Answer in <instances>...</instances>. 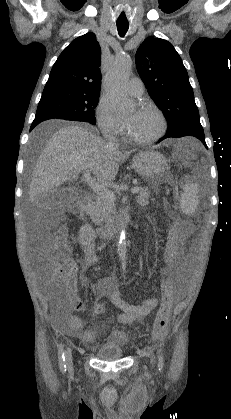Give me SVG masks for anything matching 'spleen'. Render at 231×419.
<instances>
[{"label":"spleen","mask_w":231,"mask_h":419,"mask_svg":"<svg viewBox=\"0 0 231 419\" xmlns=\"http://www.w3.org/2000/svg\"><path fill=\"white\" fill-rule=\"evenodd\" d=\"M183 189L184 193L180 199L181 209L185 214L191 215L195 212L198 205V187L194 183H187Z\"/></svg>","instance_id":"obj_1"}]
</instances>
